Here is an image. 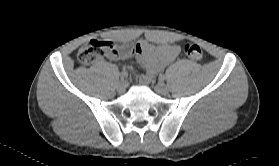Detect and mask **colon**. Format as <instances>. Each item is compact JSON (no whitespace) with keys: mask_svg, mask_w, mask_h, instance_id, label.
I'll use <instances>...</instances> for the list:
<instances>
[{"mask_svg":"<svg viewBox=\"0 0 279 166\" xmlns=\"http://www.w3.org/2000/svg\"><path fill=\"white\" fill-rule=\"evenodd\" d=\"M123 48H125V46H116L111 41L92 40L90 43L79 49L77 59L81 64L90 65L109 53L120 52ZM134 49H137V46H134ZM183 50L185 55L191 60L199 61L203 57L201 47L195 43L185 44ZM144 80L147 79L144 78Z\"/></svg>","mask_w":279,"mask_h":166,"instance_id":"5ec220e1","label":"colon"}]
</instances>
